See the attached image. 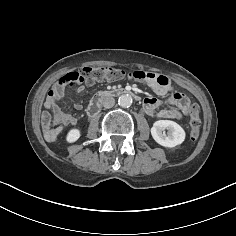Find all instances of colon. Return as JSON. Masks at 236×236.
<instances>
[{
    "instance_id": "1",
    "label": "colon",
    "mask_w": 236,
    "mask_h": 236,
    "mask_svg": "<svg viewBox=\"0 0 236 236\" xmlns=\"http://www.w3.org/2000/svg\"><path fill=\"white\" fill-rule=\"evenodd\" d=\"M125 72L118 68L113 67H83L79 71L67 73L56 83L53 94L57 97L63 95L67 87L79 85L81 83L93 84L97 81L108 80L117 81L124 77ZM133 79L144 82L147 75L140 71H134L130 74ZM190 114V139L196 141L200 133V108L197 104L193 103L189 107Z\"/></svg>"
}]
</instances>
